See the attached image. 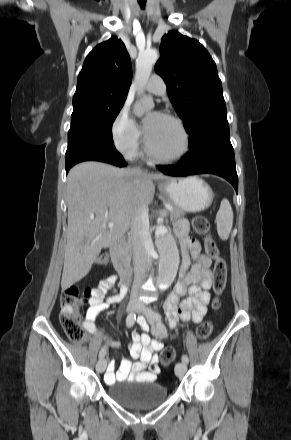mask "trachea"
<instances>
[{"mask_svg":"<svg viewBox=\"0 0 291 440\" xmlns=\"http://www.w3.org/2000/svg\"><path fill=\"white\" fill-rule=\"evenodd\" d=\"M138 3L140 4V6L142 8H144L145 4H146V0H138Z\"/></svg>","mask_w":291,"mask_h":440,"instance_id":"1","label":"trachea"}]
</instances>
